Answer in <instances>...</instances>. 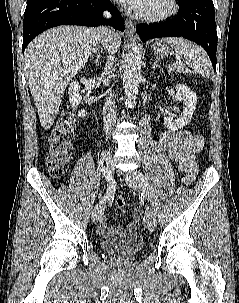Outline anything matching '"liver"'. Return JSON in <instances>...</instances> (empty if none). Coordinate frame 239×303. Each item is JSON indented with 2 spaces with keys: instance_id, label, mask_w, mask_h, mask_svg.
<instances>
[{
  "instance_id": "obj_1",
  "label": "liver",
  "mask_w": 239,
  "mask_h": 303,
  "mask_svg": "<svg viewBox=\"0 0 239 303\" xmlns=\"http://www.w3.org/2000/svg\"><path fill=\"white\" fill-rule=\"evenodd\" d=\"M97 43L96 28L60 26L45 31L26 48L27 83L45 130L54 123L68 82L84 67ZM108 44L111 51H118L120 35L112 32Z\"/></svg>"
}]
</instances>
